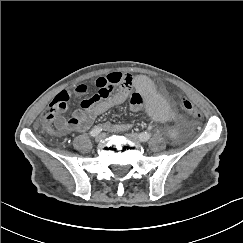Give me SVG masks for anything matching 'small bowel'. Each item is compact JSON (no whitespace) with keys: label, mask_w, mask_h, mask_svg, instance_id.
I'll return each instance as SVG.
<instances>
[{"label":"small bowel","mask_w":243,"mask_h":243,"mask_svg":"<svg viewBox=\"0 0 243 243\" xmlns=\"http://www.w3.org/2000/svg\"><path fill=\"white\" fill-rule=\"evenodd\" d=\"M134 78L129 74L110 73L106 76L98 77L95 82L96 93L89 98L83 99L80 103V108L76 110L69 119H65L60 114L66 110L60 111L56 117L55 124L61 134H66L71 131L84 132L89 129L93 122L108 110L123 104L129 97L132 89ZM90 90L88 83L77 85L73 94L75 96H83ZM131 110L136 112L139 110V105L143 103L136 92L131 95ZM171 113L170 118L173 117ZM130 125H120L112 127L106 125L107 129L117 131H125L130 129Z\"/></svg>","instance_id":"small-bowel-1"}]
</instances>
